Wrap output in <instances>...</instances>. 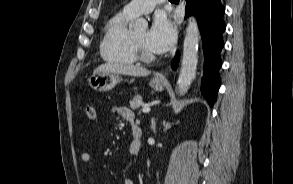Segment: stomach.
<instances>
[{
	"label": "stomach",
	"mask_w": 293,
	"mask_h": 184,
	"mask_svg": "<svg viewBox=\"0 0 293 184\" xmlns=\"http://www.w3.org/2000/svg\"><path fill=\"white\" fill-rule=\"evenodd\" d=\"M122 80L123 79L116 73L94 72L93 75L88 78V84L95 91L105 92L113 89ZM130 82H133V80ZM149 85L156 91H162L164 83L158 78H153Z\"/></svg>",
	"instance_id": "1"
}]
</instances>
